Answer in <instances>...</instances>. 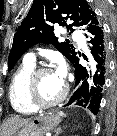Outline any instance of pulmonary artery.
<instances>
[{
	"instance_id": "pulmonary-artery-1",
	"label": "pulmonary artery",
	"mask_w": 117,
	"mask_h": 136,
	"mask_svg": "<svg viewBox=\"0 0 117 136\" xmlns=\"http://www.w3.org/2000/svg\"><path fill=\"white\" fill-rule=\"evenodd\" d=\"M73 39L80 45V46H84V40H83V37L80 35V34H78V33H76V32H74L73 33ZM24 60L25 61H28V62H35V55L33 54V53H28V54H26L25 55V57H24Z\"/></svg>"
}]
</instances>
